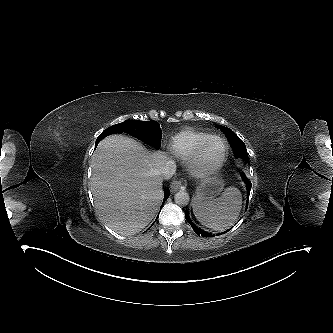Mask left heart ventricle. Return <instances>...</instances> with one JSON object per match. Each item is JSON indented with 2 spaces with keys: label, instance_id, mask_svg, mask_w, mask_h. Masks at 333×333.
Segmentation results:
<instances>
[{
  "label": "left heart ventricle",
  "instance_id": "left-heart-ventricle-1",
  "mask_svg": "<svg viewBox=\"0 0 333 333\" xmlns=\"http://www.w3.org/2000/svg\"><path fill=\"white\" fill-rule=\"evenodd\" d=\"M224 145L219 140H213L206 148L203 154V161L205 165L216 163L222 156Z\"/></svg>",
  "mask_w": 333,
  "mask_h": 333
}]
</instances>
